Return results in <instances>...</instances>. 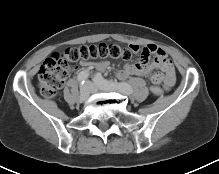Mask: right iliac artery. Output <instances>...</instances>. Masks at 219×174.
I'll return each mask as SVG.
<instances>
[{
	"label": "right iliac artery",
	"instance_id": "right-iliac-artery-1",
	"mask_svg": "<svg viewBox=\"0 0 219 174\" xmlns=\"http://www.w3.org/2000/svg\"><path fill=\"white\" fill-rule=\"evenodd\" d=\"M89 77V72L87 71H82L79 73V75L77 76V80L79 83L84 84V82L86 81V79Z\"/></svg>",
	"mask_w": 219,
	"mask_h": 174
}]
</instances>
